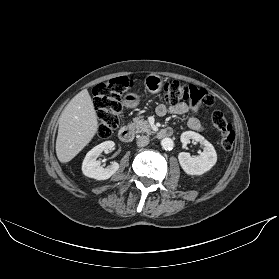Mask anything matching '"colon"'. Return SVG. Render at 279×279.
Returning <instances> with one entry per match:
<instances>
[{
	"mask_svg": "<svg viewBox=\"0 0 279 279\" xmlns=\"http://www.w3.org/2000/svg\"><path fill=\"white\" fill-rule=\"evenodd\" d=\"M132 87L127 77L113 78L94 88V106L98 117L97 135L106 139L112 135L120 123L121 97ZM164 100L174 106L180 102L212 106L214 97L206 90L192 85H185L178 81H170L164 86ZM213 126L219 131L220 144L223 149L231 150L235 142V132L221 111L213 112L211 116Z\"/></svg>",
	"mask_w": 279,
	"mask_h": 279,
	"instance_id": "1",
	"label": "colon"
}]
</instances>
